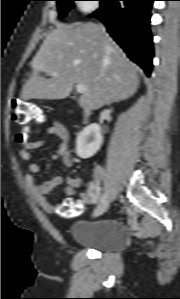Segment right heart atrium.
Returning a JSON list of instances; mask_svg holds the SVG:
<instances>
[{
  "label": "right heart atrium",
  "mask_w": 180,
  "mask_h": 299,
  "mask_svg": "<svg viewBox=\"0 0 180 299\" xmlns=\"http://www.w3.org/2000/svg\"><path fill=\"white\" fill-rule=\"evenodd\" d=\"M78 8L84 13H91L97 9L96 0H78Z\"/></svg>",
  "instance_id": "d8ad5b80"
}]
</instances>
